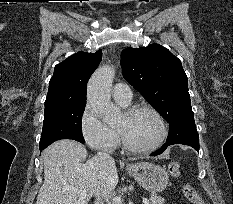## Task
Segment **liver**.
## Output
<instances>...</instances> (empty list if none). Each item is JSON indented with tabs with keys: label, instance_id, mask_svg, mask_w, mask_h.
Segmentation results:
<instances>
[{
	"label": "liver",
	"instance_id": "obj_1",
	"mask_svg": "<svg viewBox=\"0 0 233 204\" xmlns=\"http://www.w3.org/2000/svg\"><path fill=\"white\" fill-rule=\"evenodd\" d=\"M87 157L86 148L69 139L56 141L42 153L44 183L36 204H88L91 197L107 198L118 184L114 160ZM75 187L86 191V197L67 190Z\"/></svg>",
	"mask_w": 233,
	"mask_h": 204
}]
</instances>
